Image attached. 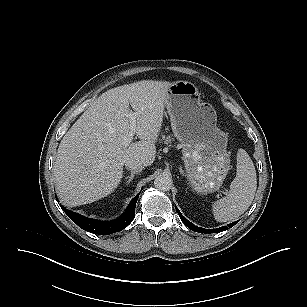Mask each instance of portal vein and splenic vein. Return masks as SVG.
<instances>
[{"label":"portal vein and splenic vein","instance_id":"portal-vein-and-splenic-vein-1","mask_svg":"<svg viewBox=\"0 0 307 307\" xmlns=\"http://www.w3.org/2000/svg\"><path fill=\"white\" fill-rule=\"evenodd\" d=\"M129 120H130V132L127 136L123 138V144L125 146H128L130 142H132L134 135H135V130H136V118L137 114L135 112H130L128 114Z\"/></svg>","mask_w":307,"mask_h":307}]
</instances>
